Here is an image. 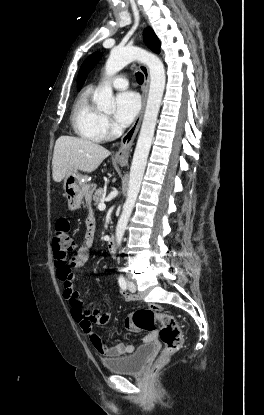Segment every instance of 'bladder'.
<instances>
[{
	"label": "bladder",
	"instance_id": "31cf9c89",
	"mask_svg": "<svg viewBox=\"0 0 264 415\" xmlns=\"http://www.w3.org/2000/svg\"><path fill=\"white\" fill-rule=\"evenodd\" d=\"M155 349L156 344L149 342L137 347L130 355L105 359L103 365L111 373L137 374L144 369L147 360L155 352Z\"/></svg>",
	"mask_w": 264,
	"mask_h": 415
}]
</instances>
